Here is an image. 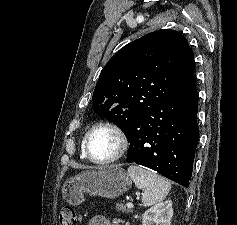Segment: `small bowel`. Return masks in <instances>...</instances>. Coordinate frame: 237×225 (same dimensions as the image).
Segmentation results:
<instances>
[{"mask_svg": "<svg viewBox=\"0 0 237 225\" xmlns=\"http://www.w3.org/2000/svg\"><path fill=\"white\" fill-rule=\"evenodd\" d=\"M88 225H117L102 215L94 216L90 219Z\"/></svg>", "mask_w": 237, "mask_h": 225, "instance_id": "small-bowel-1", "label": "small bowel"}]
</instances>
